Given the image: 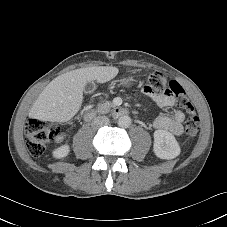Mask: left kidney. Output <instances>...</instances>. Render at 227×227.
Here are the masks:
<instances>
[{
  "label": "left kidney",
  "mask_w": 227,
  "mask_h": 227,
  "mask_svg": "<svg viewBox=\"0 0 227 227\" xmlns=\"http://www.w3.org/2000/svg\"><path fill=\"white\" fill-rule=\"evenodd\" d=\"M154 153L160 159H173L180 154V146L175 137L168 131L154 132Z\"/></svg>",
  "instance_id": "obj_1"
}]
</instances>
